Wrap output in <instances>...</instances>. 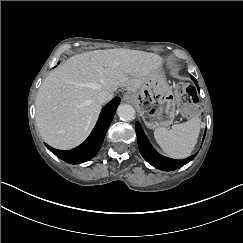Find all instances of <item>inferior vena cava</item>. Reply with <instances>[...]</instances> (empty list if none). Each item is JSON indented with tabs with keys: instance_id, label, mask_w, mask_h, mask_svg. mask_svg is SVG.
<instances>
[{
	"instance_id": "602c4592",
	"label": "inferior vena cava",
	"mask_w": 243,
	"mask_h": 243,
	"mask_svg": "<svg viewBox=\"0 0 243 243\" xmlns=\"http://www.w3.org/2000/svg\"><path fill=\"white\" fill-rule=\"evenodd\" d=\"M112 98H113V93L107 90H102L97 96V100L100 104L106 103L110 101Z\"/></svg>"
}]
</instances>
